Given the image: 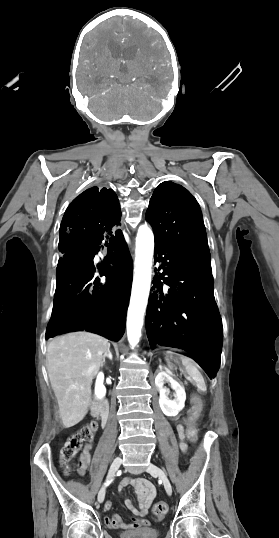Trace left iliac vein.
I'll use <instances>...</instances> for the list:
<instances>
[{
  "instance_id": "4c4485c4",
  "label": "left iliac vein",
  "mask_w": 279,
  "mask_h": 538,
  "mask_svg": "<svg viewBox=\"0 0 279 538\" xmlns=\"http://www.w3.org/2000/svg\"><path fill=\"white\" fill-rule=\"evenodd\" d=\"M147 472L150 473L152 476L159 477L164 485L167 494H172V486L170 484V481L166 473L161 468L151 463L147 468Z\"/></svg>"
}]
</instances>
